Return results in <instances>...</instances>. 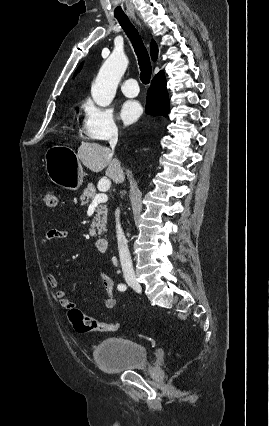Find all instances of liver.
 <instances>
[{
    "instance_id": "1",
    "label": "liver",
    "mask_w": 269,
    "mask_h": 426,
    "mask_svg": "<svg viewBox=\"0 0 269 426\" xmlns=\"http://www.w3.org/2000/svg\"><path fill=\"white\" fill-rule=\"evenodd\" d=\"M78 159L92 172L98 173L106 168V176L115 183L125 180L123 169L118 159L113 158V152L98 143L82 142L77 152Z\"/></svg>"
}]
</instances>
